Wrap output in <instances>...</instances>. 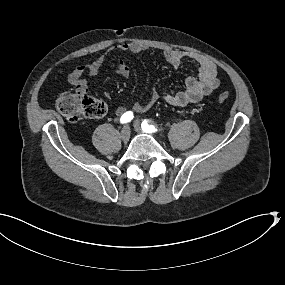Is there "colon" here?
Returning <instances> with one entry per match:
<instances>
[{
	"instance_id": "obj_1",
	"label": "colon",
	"mask_w": 285,
	"mask_h": 285,
	"mask_svg": "<svg viewBox=\"0 0 285 285\" xmlns=\"http://www.w3.org/2000/svg\"><path fill=\"white\" fill-rule=\"evenodd\" d=\"M229 98L227 91L220 92L217 96L219 102ZM56 110L70 122L83 119H97L106 114V104L97 98L87 95L85 91L73 89L58 95L55 101Z\"/></svg>"
}]
</instances>
